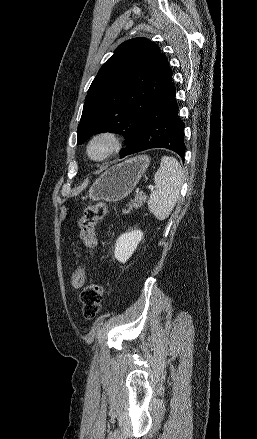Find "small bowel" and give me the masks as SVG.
<instances>
[{
    "instance_id": "small-bowel-1",
    "label": "small bowel",
    "mask_w": 257,
    "mask_h": 439,
    "mask_svg": "<svg viewBox=\"0 0 257 439\" xmlns=\"http://www.w3.org/2000/svg\"><path fill=\"white\" fill-rule=\"evenodd\" d=\"M87 277H88V268L86 267L85 268V280H86Z\"/></svg>"
}]
</instances>
